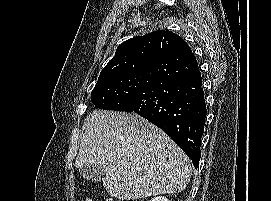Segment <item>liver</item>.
Wrapping results in <instances>:
<instances>
[{
  "mask_svg": "<svg viewBox=\"0 0 271 201\" xmlns=\"http://www.w3.org/2000/svg\"><path fill=\"white\" fill-rule=\"evenodd\" d=\"M94 164L105 169L107 193L120 200L181 192L192 174L177 144L135 113L98 110L86 118L75 166Z\"/></svg>",
  "mask_w": 271,
  "mask_h": 201,
  "instance_id": "liver-1",
  "label": "liver"
}]
</instances>
